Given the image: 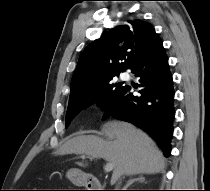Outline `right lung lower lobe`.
Segmentation results:
<instances>
[{
	"mask_svg": "<svg viewBox=\"0 0 210 191\" xmlns=\"http://www.w3.org/2000/svg\"><path fill=\"white\" fill-rule=\"evenodd\" d=\"M130 69L140 77V95L134 96L132 88L126 85L105 109L104 119L112 116L139 126L168 157L175 115L174 90L168 58L159 37L136 58Z\"/></svg>",
	"mask_w": 210,
	"mask_h": 191,
	"instance_id": "1",
	"label": "right lung lower lobe"
}]
</instances>
